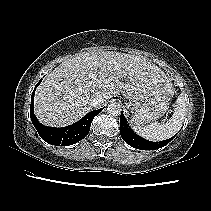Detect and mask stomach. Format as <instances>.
<instances>
[{"instance_id": "0dacf381", "label": "stomach", "mask_w": 211, "mask_h": 211, "mask_svg": "<svg viewBox=\"0 0 211 211\" xmlns=\"http://www.w3.org/2000/svg\"><path fill=\"white\" fill-rule=\"evenodd\" d=\"M174 90L172 85L161 87L158 91L145 97H127V108L133 114L132 122L135 125H146L161 116L168 110L170 101L173 97Z\"/></svg>"}]
</instances>
